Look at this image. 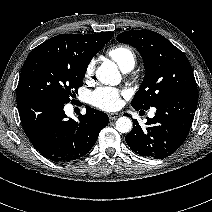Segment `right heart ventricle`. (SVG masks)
I'll use <instances>...</instances> for the list:
<instances>
[{
	"instance_id": "obj_1",
	"label": "right heart ventricle",
	"mask_w": 212,
	"mask_h": 212,
	"mask_svg": "<svg viewBox=\"0 0 212 212\" xmlns=\"http://www.w3.org/2000/svg\"><path fill=\"white\" fill-rule=\"evenodd\" d=\"M107 56L124 71L134 67L136 57L133 50L124 45L113 46L107 51Z\"/></svg>"
}]
</instances>
